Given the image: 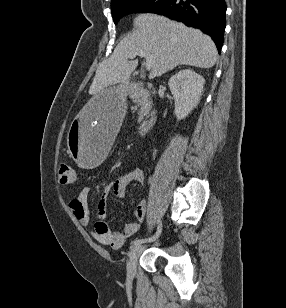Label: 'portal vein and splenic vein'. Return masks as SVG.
Here are the masks:
<instances>
[{
	"instance_id": "18ae733b",
	"label": "portal vein and splenic vein",
	"mask_w": 286,
	"mask_h": 308,
	"mask_svg": "<svg viewBox=\"0 0 286 308\" xmlns=\"http://www.w3.org/2000/svg\"><path fill=\"white\" fill-rule=\"evenodd\" d=\"M136 56L144 57L146 59L145 67L147 70H150L155 64V56L148 52L136 51V52L130 53L128 55V58L134 59Z\"/></svg>"
}]
</instances>
